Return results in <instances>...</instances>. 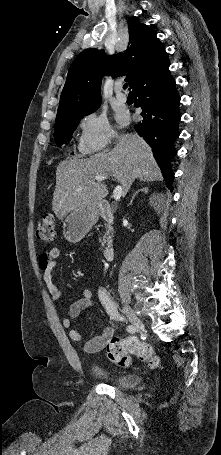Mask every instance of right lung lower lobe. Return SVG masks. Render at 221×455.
Listing matches in <instances>:
<instances>
[{
    "label": "right lung lower lobe",
    "mask_w": 221,
    "mask_h": 455,
    "mask_svg": "<svg viewBox=\"0 0 221 455\" xmlns=\"http://www.w3.org/2000/svg\"><path fill=\"white\" fill-rule=\"evenodd\" d=\"M169 65L164 50L136 81L132 95L134 106L142 108L143 117L135 130L152 148L166 185L170 188L174 178L171 161L177 153L175 142L179 136L178 124L181 115L180 97L168 69Z\"/></svg>",
    "instance_id": "right-lung-lower-lobe-1"
}]
</instances>
